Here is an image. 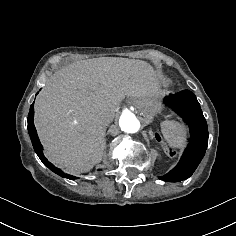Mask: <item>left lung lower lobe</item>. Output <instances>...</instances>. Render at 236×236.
Returning <instances> with one entry per match:
<instances>
[{
  "instance_id": "left-lung-lower-lobe-1",
  "label": "left lung lower lobe",
  "mask_w": 236,
  "mask_h": 236,
  "mask_svg": "<svg viewBox=\"0 0 236 236\" xmlns=\"http://www.w3.org/2000/svg\"><path fill=\"white\" fill-rule=\"evenodd\" d=\"M164 103L179 114L187 123L190 139L179 163L170 172L160 177L168 182H178L189 178L201 160L208 146V126L196 96L189 90L164 98Z\"/></svg>"
}]
</instances>
